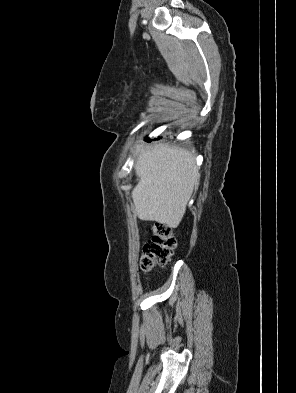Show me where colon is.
I'll return each mask as SVG.
<instances>
[{"instance_id":"colon-1","label":"colon","mask_w":296,"mask_h":393,"mask_svg":"<svg viewBox=\"0 0 296 393\" xmlns=\"http://www.w3.org/2000/svg\"><path fill=\"white\" fill-rule=\"evenodd\" d=\"M176 246L171 228L163 223H155L153 235L144 246L141 268L150 271L155 266H163L170 260Z\"/></svg>"}]
</instances>
